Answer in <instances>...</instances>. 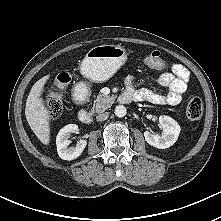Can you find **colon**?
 <instances>
[{"label":"colon","mask_w":221,"mask_h":221,"mask_svg":"<svg viewBox=\"0 0 221 221\" xmlns=\"http://www.w3.org/2000/svg\"><path fill=\"white\" fill-rule=\"evenodd\" d=\"M144 63L147 67L154 70H164L167 67L165 58L158 51L149 53ZM70 82V74L63 72L59 74L51 85L45 84L44 90V104L52 118H57L63 111V99L61 91ZM203 113V103L198 96H193L189 99L186 106L187 117L191 120H198Z\"/></svg>","instance_id":"colon-1"}]
</instances>
